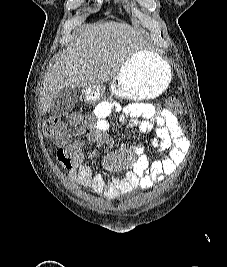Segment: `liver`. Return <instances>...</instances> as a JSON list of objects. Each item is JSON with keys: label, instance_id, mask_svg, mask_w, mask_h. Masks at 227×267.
<instances>
[{"label": "liver", "instance_id": "6515ba94", "mask_svg": "<svg viewBox=\"0 0 227 267\" xmlns=\"http://www.w3.org/2000/svg\"><path fill=\"white\" fill-rule=\"evenodd\" d=\"M147 41L120 22L92 25L77 36L45 74L40 111H48L54 96L66 88L100 85L114 78L126 61L144 50Z\"/></svg>", "mask_w": 227, "mask_h": 267}]
</instances>
